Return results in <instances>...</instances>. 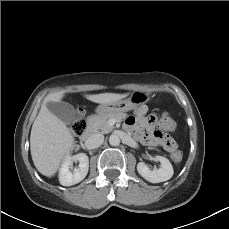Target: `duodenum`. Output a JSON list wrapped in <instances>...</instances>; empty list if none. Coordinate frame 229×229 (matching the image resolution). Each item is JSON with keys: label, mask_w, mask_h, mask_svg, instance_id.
<instances>
[{"label": "duodenum", "mask_w": 229, "mask_h": 229, "mask_svg": "<svg viewBox=\"0 0 229 229\" xmlns=\"http://www.w3.org/2000/svg\"><path fill=\"white\" fill-rule=\"evenodd\" d=\"M97 120V115L91 114L87 117L86 121L88 124L87 129L84 131V133L81 135V141L85 142L89 139V137L95 132L94 124Z\"/></svg>", "instance_id": "obj_1"}]
</instances>
